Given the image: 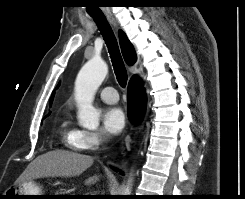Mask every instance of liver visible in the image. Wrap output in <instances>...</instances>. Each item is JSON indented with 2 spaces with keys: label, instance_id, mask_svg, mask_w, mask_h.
<instances>
[{
  "label": "liver",
  "instance_id": "obj_1",
  "mask_svg": "<svg viewBox=\"0 0 245 199\" xmlns=\"http://www.w3.org/2000/svg\"><path fill=\"white\" fill-rule=\"evenodd\" d=\"M92 164L91 156L66 150H53L38 156L31 162L21 181L44 177L79 176ZM98 179V176L89 177L85 184H94Z\"/></svg>",
  "mask_w": 245,
  "mask_h": 199
}]
</instances>
